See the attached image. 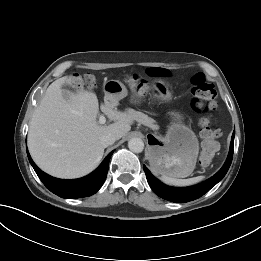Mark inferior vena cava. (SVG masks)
Returning <instances> with one entry per match:
<instances>
[{
	"instance_id": "obj_1",
	"label": "inferior vena cava",
	"mask_w": 261,
	"mask_h": 261,
	"mask_svg": "<svg viewBox=\"0 0 261 261\" xmlns=\"http://www.w3.org/2000/svg\"><path fill=\"white\" fill-rule=\"evenodd\" d=\"M115 141H116V137L112 134L103 135L100 139V142L103 147H108L114 144Z\"/></svg>"
}]
</instances>
